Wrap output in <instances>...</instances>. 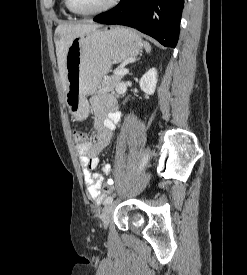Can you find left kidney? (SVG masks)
<instances>
[{"label":"left kidney","instance_id":"obj_1","mask_svg":"<svg viewBox=\"0 0 247 275\" xmlns=\"http://www.w3.org/2000/svg\"><path fill=\"white\" fill-rule=\"evenodd\" d=\"M139 84L144 93L148 95L154 94L157 84V70L155 68L149 69V71L142 76Z\"/></svg>","mask_w":247,"mask_h":275}]
</instances>
